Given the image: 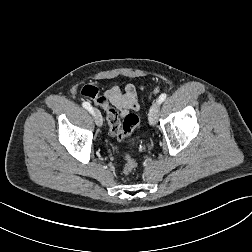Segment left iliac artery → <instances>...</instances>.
<instances>
[{
	"mask_svg": "<svg viewBox=\"0 0 252 252\" xmlns=\"http://www.w3.org/2000/svg\"><path fill=\"white\" fill-rule=\"evenodd\" d=\"M167 98V94L163 93L159 96L158 102L162 103Z\"/></svg>",
	"mask_w": 252,
	"mask_h": 252,
	"instance_id": "44dca946",
	"label": "left iliac artery"
}]
</instances>
